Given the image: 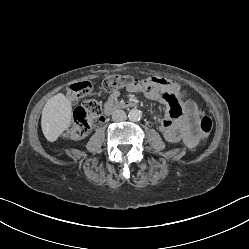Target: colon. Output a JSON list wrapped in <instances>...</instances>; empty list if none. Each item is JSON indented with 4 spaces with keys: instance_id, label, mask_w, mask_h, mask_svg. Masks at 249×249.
Returning <instances> with one entry per match:
<instances>
[{
    "instance_id": "5ec220e1",
    "label": "colon",
    "mask_w": 249,
    "mask_h": 249,
    "mask_svg": "<svg viewBox=\"0 0 249 249\" xmlns=\"http://www.w3.org/2000/svg\"><path fill=\"white\" fill-rule=\"evenodd\" d=\"M138 83V80L130 76L111 75L102 82V88L112 91L119 88H127ZM91 89L88 82H76L69 86L68 96L76 100L86 95ZM102 105L96 100H89L74 112L73 120L66 131V136L73 140H79L88 135L93 125L102 120ZM200 131L207 137L213 128L210 117L202 115L199 121Z\"/></svg>"
}]
</instances>
